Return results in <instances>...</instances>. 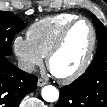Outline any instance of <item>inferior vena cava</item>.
<instances>
[{
  "label": "inferior vena cava",
  "instance_id": "1",
  "mask_svg": "<svg viewBox=\"0 0 107 107\" xmlns=\"http://www.w3.org/2000/svg\"><path fill=\"white\" fill-rule=\"evenodd\" d=\"M18 68L20 70L27 72V73H32L35 69L33 64L26 62V61H23V60L18 61Z\"/></svg>",
  "mask_w": 107,
  "mask_h": 107
}]
</instances>
